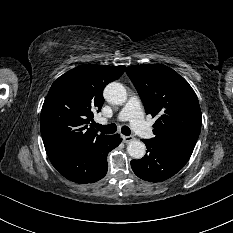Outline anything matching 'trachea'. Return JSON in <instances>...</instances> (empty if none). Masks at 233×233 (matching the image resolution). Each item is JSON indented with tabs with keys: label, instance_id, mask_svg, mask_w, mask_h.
I'll use <instances>...</instances> for the list:
<instances>
[{
	"label": "trachea",
	"instance_id": "obj_1",
	"mask_svg": "<svg viewBox=\"0 0 233 233\" xmlns=\"http://www.w3.org/2000/svg\"><path fill=\"white\" fill-rule=\"evenodd\" d=\"M94 127L104 134H113L117 130V126L115 124H108V125L103 126V125L94 123ZM121 132L122 134L126 136H129L131 134V130L127 126H123L121 128Z\"/></svg>",
	"mask_w": 233,
	"mask_h": 233
}]
</instances>
